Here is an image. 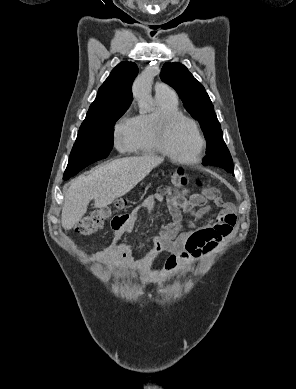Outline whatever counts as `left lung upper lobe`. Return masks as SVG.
I'll list each match as a JSON object with an SVG mask.
<instances>
[{
    "mask_svg": "<svg viewBox=\"0 0 296 389\" xmlns=\"http://www.w3.org/2000/svg\"><path fill=\"white\" fill-rule=\"evenodd\" d=\"M160 77L173 87L182 99L187 111L201 125L208 146L203 165H213L233 171L232 157L218 155V150L225 144L220 123L214 112L213 104L203 85L198 82L188 69L180 63H165Z\"/></svg>",
    "mask_w": 296,
    "mask_h": 389,
    "instance_id": "left-lung-upper-lobe-1",
    "label": "left lung upper lobe"
}]
</instances>
